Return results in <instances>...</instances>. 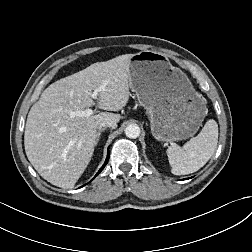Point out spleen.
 <instances>
[{
	"label": "spleen",
	"mask_w": 252,
	"mask_h": 252,
	"mask_svg": "<svg viewBox=\"0 0 252 252\" xmlns=\"http://www.w3.org/2000/svg\"><path fill=\"white\" fill-rule=\"evenodd\" d=\"M218 143V124L214 119L206 122L201 132L180 147L172 144L167 156L174 175H186L202 168L214 154Z\"/></svg>",
	"instance_id": "3e777b00"
}]
</instances>
